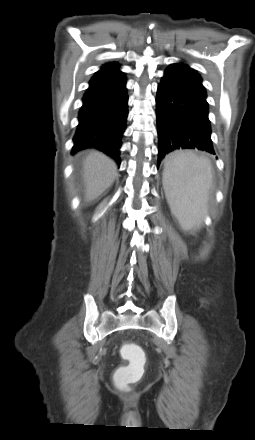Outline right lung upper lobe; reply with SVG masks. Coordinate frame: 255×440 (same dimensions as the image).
<instances>
[{"instance_id":"obj_1","label":"right lung upper lobe","mask_w":255,"mask_h":440,"mask_svg":"<svg viewBox=\"0 0 255 440\" xmlns=\"http://www.w3.org/2000/svg\"><path fill=\"white\" fill-rule=\"evenodd\" d=\"M116 66H117L116 63H107L104 66H102V68L98 72H96L94 76L103 74V73L115 68Z\"/></svg>"}]
</instances>
